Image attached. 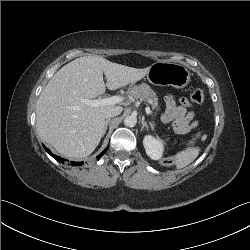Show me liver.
<instances>
[{"instance_id":"6515ba94","label":"liver","mask_w":250,"mask_h":250,"mask_svg":"<svg viewBox=\"0 0 250 250\" xmlns=\"http://www.w3.org/2000/svg\"><path fill=\"white\" fill-rule=\"evenodd\" d=\"M149 68H132L100 56L69 62L53 75L38 98L39 136L65 157L89 156L103 137L106 112L116 106L91 107L82 99L96 98L105 93L106 87L116 90L135 83L147 75Z\"/></svg>"}]
</instances>
